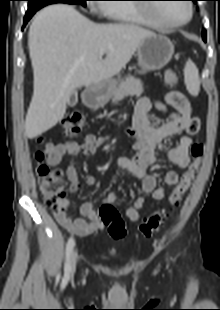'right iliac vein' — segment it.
I'll return each instance as SVG.
<instances>
[{
    "label": "right iliac vein",
    "instance_id": "63e3f726",
    "mask_svg": "<svg viewBox=\"0 0 220 310\" xmlns=\"http://www.w3.org/2000/svg\"><path fill=\"white\" fill-rule=\"evenodd\" d=\"M77 265V253L76 250H72L70 259V270L69 275H73Z\"/></svg>",
    "mask_w": 220,
    "mask_h": 310
}]
</instances>
